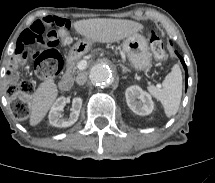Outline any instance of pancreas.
I'll return each mask as SVG.
<instances>
[{
  "label": "pancreas",
  "mask_w": 215,
  "mask_h": 183,
  "mask_svg": "<svg viewBox=\"0 0 215 183\" xmlns=\"http://www.w3.org/2000/svg\"><path fill=\"white\" fill-rule=\"evenodd\" d=\"M68 63H69L70 68H71L73 71H76V70H77L78 59H75V60H73V61H71V62L68 61Z\"/></svg>",
  "instance_id": "pancreas-1"
}]
</instances>
